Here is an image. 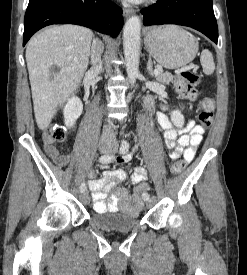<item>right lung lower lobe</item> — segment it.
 Returning <instances> with one entry per match:
<instances>
[{"mask_svg":"<svg viewBox=\"0 0 247 275\" xmlns=\"http://www.w3.org/2000/svg\"><path fill=\"white\" fill-rule=\"evenodd\" d=\"M52 24H77L116 37L122 9L110 0H29L24 18L23 46L39 29Z\"/></svg>","mask_w":247,"mask_h":275,"instance_id":"1","label":"right lung lower lobe"}]
</instances>
